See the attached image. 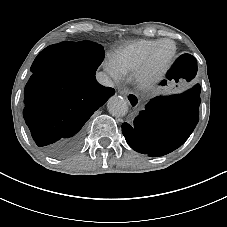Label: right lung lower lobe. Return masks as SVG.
Instances as JSON below:
<instances>
[{
	"label": "right lung lower lobe",
	"mask_w": 227,
	"mask_h": 227,
	"mask_svg": "<svg viewBox=\"0 0 227 227\" xmlns=\"http://www.w3.org/2000/svg\"><path fill=\"white\" fill-rule=\"evenodd\" d=\"M71 42L45 48L34 60L24 90L23 116L37 146L52 157L75 152L81 128L115 93L95 79L96 70L82 69L70 55Z\"/></svg>",
	"instance_id": "98d812e1"
}]
</instances>
